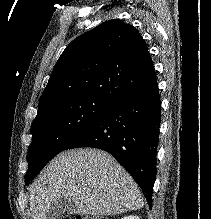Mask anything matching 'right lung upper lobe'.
Returning a JSON list of instances; mask_svg holds the SVG:
<instances>
[{"instance_id": "right-lung-upper-lobe-1", "label": "right lung upper lobe", "mask_w": 211, "mask_h": 219, "mask_svg": "<svg viewBox=\"0 0 211 219\" xmlns=\"http://www.w3.org/2000/svg\"><path fill=\"white\" fill-rule=\"evenodd\" d=\"M154 77L152 59L139 32L122 20L106 21L66 47L43 91L36 117L76 98L116 102Z\"/></svg>"}]
</instances>
